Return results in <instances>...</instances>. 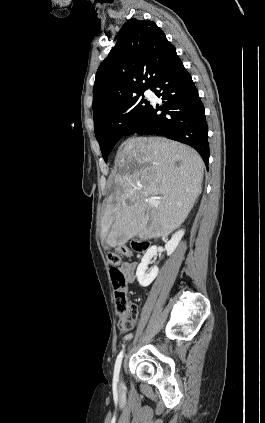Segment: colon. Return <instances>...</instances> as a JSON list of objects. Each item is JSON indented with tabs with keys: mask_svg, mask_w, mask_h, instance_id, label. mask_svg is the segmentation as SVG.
Wrapping results in <instances>:
<instances>
[{
	"mask_svg": "<svg viewBox=\"0 0 265 423\" xmlns=\"http://www.w3.org/2000/svg\"><path fill=\"white\" fill-rule=\"evenodd\" d=\"M150 247L147 241H132L130 246L121 245L115 251L108 254V262L112 265L110 270L111 282L115 289L114 300L116 311L120 316L118 327L120 330H130L138 316L137 310L130 304L125 288L126 279L122 271L117 267L122 258L130 257L133 252L144 253Z\"/></svg>",
	"mask_w": 265,
	"mask_h": 423,
	"instance_id": "5ec220e1",
	"label": "colon"
}]
</instances>
